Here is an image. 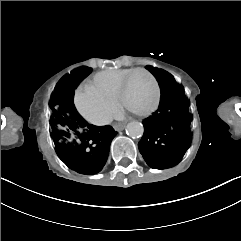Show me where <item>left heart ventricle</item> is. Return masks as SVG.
<instances>
[{
	"mask_svg": "<svg viewBox=\"0 0 241 241\" xmlns=\"http://www.w3.org/2000/svg\"><path fill=\"white\" fill-rule=\"evenodd\" d=\"M125 101L127 110L133 113L143 112V108L150 104L154 90L148 80H144V76L136 75L128 82L125 89Z\"/></svg>",
	"mask_w": 241,
	"mask_h": 241,
	"instance_id": "b2bd125f",
	"label": "left heart ventricle"
}]
</instances>
